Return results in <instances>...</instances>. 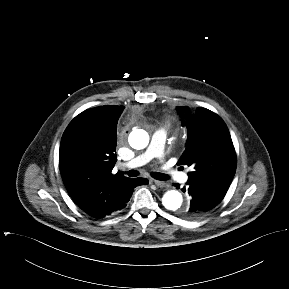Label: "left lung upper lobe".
I'll list each match as a JSON object with an SVG mask.
<instances>
[{
  "mask_svg": "<svg viewBox=\"0 0 289 289\" xmlns=\"http://www.w3.org/2000/svg\"><path fill=\"white\" fill-rule=\"evenodd\" d=\"M187 106H177L182 124L187 128L186 149L178 165L193 166L191 182L213 185L224 190L236 171V153L224 121L212 111L197 108L194 115Z\"/></svg>",
  "mask_w": 289,
  "mask_h": 289,
  "instance_id": "obj_1",
  "label": "left lung upper lobe"
}]
</instances>
